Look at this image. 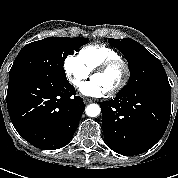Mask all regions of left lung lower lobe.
<instances>
[{"label":"left lung lower lobe","mask_w":178,"mask_h":178,"mask_svg":"<svg viewBox=\"0 0 178 178\" xmlns=\"http://www.w3.org/2000/svg\"><path fill=\"white\" fill-rule=\"evenodd\" d=\"M109 147L122 155H138L163 136L171 113V88L144 85L121 91L100 103Z\"/></svg>","instance_id":"left-lung-lower-lobe-1"}]
</instances>
